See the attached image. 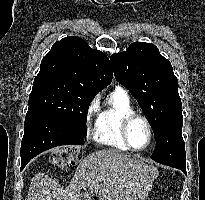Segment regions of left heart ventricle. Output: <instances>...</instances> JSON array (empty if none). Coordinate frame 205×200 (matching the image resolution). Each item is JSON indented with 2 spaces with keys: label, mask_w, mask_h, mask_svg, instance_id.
<instances>
[{
  "label": "left heart ventricle",
  "mask_w": 205,
  "mask_h": 200,
  "mask_svg": "<svg viewBox=\"0 0 205 200\" xmlns=\"http://www.w3.org/2000/svg\"><path fill=\"white\" fill-rule=\"evenodd\" d=\"M149 138V132L146 124L136 119L129 128V139L131 144L136 148H142L146 145Z\"/></svg>",
  "instance_id": "b2bd125f"
}]
</instances>
